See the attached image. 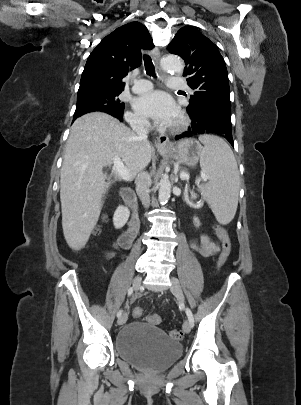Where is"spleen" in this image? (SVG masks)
Here are the masks:
<instances>
[{"label":"spleen","mask_w":301,"mask_h":405,"mask_svg":"<svg viewBox=\"0 0 301 405\" xmlns=\"http://www.w3.org/2000/svg\"><path fill=\"white\" fill-rule=\"evenodd\" d=\"M200 166L207 183L201 186L217 221L226 225L235 216L240 177L237 162L228 144L220 137L202 135Z\"/></svg>","instance_id":"3e777b00"}]
</instances>
